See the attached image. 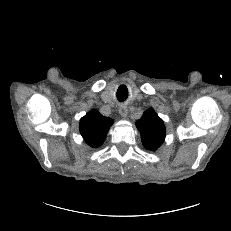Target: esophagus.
Here are the masks:
<instances>
[{"mask_svg":"<svg viewBox=\"0 0 231 231\" xmlns=\"http://www.w3.org/2000/svg\"><path fill=\"white\" fill-rule=\"evenodd\" d=\"M119 113H120V115H121L123 118H126V117H127V114H128V108H127V106H125V105L120 106V108H119Z\"/></svg>","mask_w":231,"mask_h":231,"instance_id":"obj_1","label":"esophagus"}]
</instances>
